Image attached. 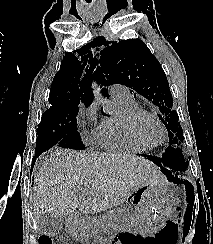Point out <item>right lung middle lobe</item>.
<instances>
[{
	"label": "right lung middle lobe",
	"instance_id": "obj_1",
	"mask_svg": "<svg viewBox=\"0 0 213 244\" xmlns=\"http://www.w3.org/2000/svg\"><path fill=\"white\" fill-rule=\"evenodd\" d=\"M78 112V104L52 105L47 109L38 125L35 153H43L55 144L64 148L85 149L77 131Z\"/></svg>",
	"mask_w": 213,
	"mask_h": 244
}]
</instances>
